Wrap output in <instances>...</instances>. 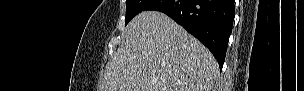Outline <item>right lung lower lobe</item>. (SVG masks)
Here are the masks:
<instances>
[{
    "label": "right lung lower lobe",
    "instance_id": "right-lung-lower-lobe-1",
    "mask_svg": "<svg viewBox=\"0 0 304 91\" xmlns=\"http://www.w3.org/2000/svg\"><path fill=\"white\" fill-rule=\"evenodd\" d=\"M165 13L200 40L217 59L220 70L235 16L234 0H152L144 11Z\"/></svg>",
    "mask_w": 304,
    "mask_h": 91
}]
</instances>
